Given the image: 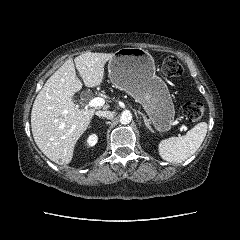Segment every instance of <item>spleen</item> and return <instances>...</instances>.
<instances>
[{"instance_id": "3e777b00", "label": "spleen", "mask_w": 240, "mask_h": 240, "mask_svg": "<svg viewBox=\"0 0 240 240\" xmlns=\"http://www.w3.org/2000/svg\"><path fill=\"white\" fill-rule=\"evenodd\" d=\"M208 125L200 122L186 135L170 137L160 141L158 151L161 158L168 162L181 163L191 157L203 143Z\"/></svg>"}]
</instances>
